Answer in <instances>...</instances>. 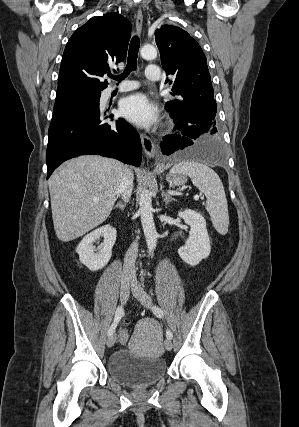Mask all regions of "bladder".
<instances>
[{
	"label": "bladder",
	"mask_w": 299,
	"mask_h": 427,
	"mask_svg": "<svg viewBox=\"0 0 299 427\" xmlns=\"http://www.w3.org/2000/svg\"><path fill=\"white\" fill-rule=\"evenodd\" d=\"M107 372L121 385L143 387L162 379L167 373V365L160 356H138L123 348L110 356Z\"/></svg>",
	"instance_id": "obj_1"
}]
</instances>
